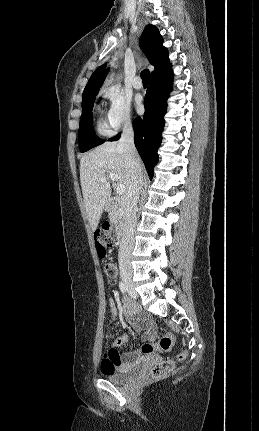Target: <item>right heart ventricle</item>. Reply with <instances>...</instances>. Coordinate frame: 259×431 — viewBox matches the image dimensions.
Returning <instances> with one entry per match:
<instances>
[{"label": "right heart ventricle", "mask_w": 259, "mask_h": 431, "mask_svg": "<svg viewBox=\"0 0 259 431\" xmlns=\"http://www.w3.org/2000/svg\"><path fill=\"white\" fill-rule=\"evenodd\" d=\"M97 128H98V131L102 134L109 133V130H108L106 124L102 121H98Z\"/></svg>", "instance_id": "e07e8e85"}]
</instances>
